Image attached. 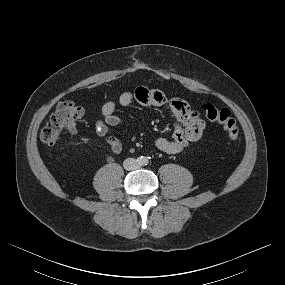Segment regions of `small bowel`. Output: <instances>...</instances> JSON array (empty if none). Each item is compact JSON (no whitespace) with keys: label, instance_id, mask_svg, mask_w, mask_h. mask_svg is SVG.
<instances>
[{"label":"small bowel","instance_id":"1","mask_svg":"<svg viewBox=\"0 0 285 285\" xmlns=\"http://www.w3.org/2000/svg\"><path fill=\"white\" fill-rule=\"evenodd\" d=\"M133 102L144 106L163 107L168 106L176 122L170 138L157 137L155 147L168 154L182 152L190 143L198 141L204 132L205 123L199 113L193 110L189 104L181 99L167 101L164 93L146 87H137L133 91H125L118 98V104L126 107ZM116 102L107 101L102 106V119L95 125L96 133L105 138L106 143L115 155L122 152V142L119 138L110 134V127L118 126L122 119L115 115Z\"/></svg>","mask_w":285,"mask_h":285}]
</instances>
